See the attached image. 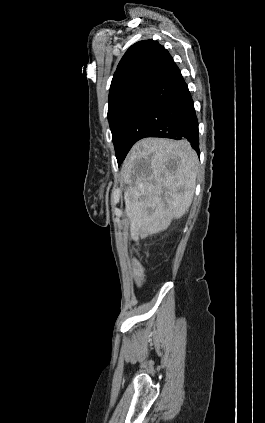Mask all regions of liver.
Masks as SVG:
<instances>
[{"label":"liver","instance_id":"6515ba94","mask_svg":"<svg viewBox=\"0 0 265 423\" xmlns=\"http://www.w3.org/2000/svg\"><path fill=\"white\" fill-rule=\"evenodd\" d=\"M198 157L186 140L145 138L123 162L121 176L131 237L166 230L189 209L196 185Z\"/></svg>","mask_w":265,"mask_h":423}]
</instances>
